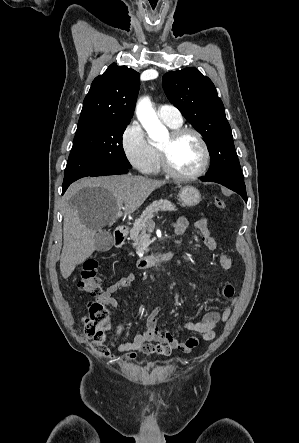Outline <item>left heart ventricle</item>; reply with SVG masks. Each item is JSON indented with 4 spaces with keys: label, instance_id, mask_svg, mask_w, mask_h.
<instances>
[{
    "label": "left heart ventricle",
    "instance_id": "1",
    "mask_svg": "<svg viewBox=\"0 0 299 443\" xmlns=\"http://www.w3.org/2000/svg\"><path fill=\"white\" fill-rule=\"evenodd\" d=\"M169 136L162 142L166 144ZM202 149L196 137L186 134L170 147V162L180 173H191L197 170L202 162Z\"/></svg>",
    "mask_w": 299,
    "mask_h": 443
}]
</instances>
